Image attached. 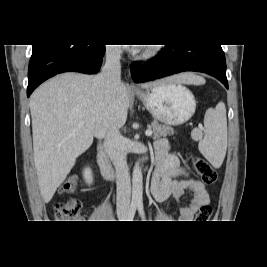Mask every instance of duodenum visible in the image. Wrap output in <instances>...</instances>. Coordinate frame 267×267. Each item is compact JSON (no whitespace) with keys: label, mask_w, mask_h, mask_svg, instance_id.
I'll list each match as a JSON object with an SVG mask.
<instances>
[{"label":"duodenum","mask_w":267,"mask_h":267,"mask_svg":"<svg viewBox=\"0 0 267 267\" xmlns=\"http://www.w3.org/2000/svg\"><path fill=\"white\" fill-rule=\"evenodd\" d=\"M97 163L100 168L101 174L105 179H112L115 176V170L110 164L105 152L103 143L99 141L97 143V155H96ZM139 162L137 165H140Z\"/></svg>","instance_id":"1"}]
</instances>
